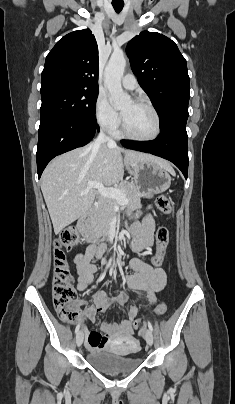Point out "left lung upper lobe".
<instances>
[{"label":"left lung upper lobe","mask_w":235,"mask_h":404,"mask_svg":"<svg viewBox=\"0 0 235 404\" xmlns=\"http://www.w3.org/2000/svg\"><path fill=\"white\" fill-rule=\"evenodd\" d=\"M126 52L140 86L160 115L161 130L186 126L189 76L176 43L160 33L143 31L128 42Z\"/></svg>","instance_id":"1"}]
</instances>
